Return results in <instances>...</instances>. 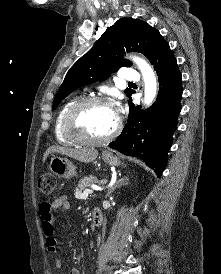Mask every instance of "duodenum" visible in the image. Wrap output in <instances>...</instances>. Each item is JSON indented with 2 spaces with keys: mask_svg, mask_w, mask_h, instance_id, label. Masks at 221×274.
<instances>
[{
  "mask_svg": "<svg viewBox=\"0 0 221 274\" xmlns=\"http://www.w3.org/2000/svg\"><path fill=\"white\" fill-rule=\"evenodd\" d=\"M103 215L102 211L99 208H94L92 211V225L94 229H97L102 225Z\"/></svg>",
  "mask_w": 221,
  "mask_h": 274,
  "instance_id": "1",
  "label": "duodenum"
}]
</instances>
